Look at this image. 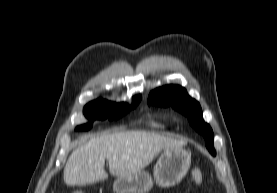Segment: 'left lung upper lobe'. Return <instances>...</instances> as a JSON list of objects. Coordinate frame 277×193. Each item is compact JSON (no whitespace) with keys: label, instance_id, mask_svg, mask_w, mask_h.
<instances>
[{"label":"left lung upper lobe","instance_id":"left-lung-upper-lobe-1","mask_svg":"<svg viewBox=\"0 0 277 193\" xmlns=\"http://www.w3.org/2000/svg\"><path fill=\"white\" fill-rule=\"evenodd\" d=\"M148 104L159 106H172L189 119L192 127L205 138V144L209 152L215 156L213 146V131L209 124L205 123L202 117L200 104L191 98L186 90L178 85H167L152 91L148 97Z\"/></svg>","mask_w":277,"mask_h":193}]
</instances>
